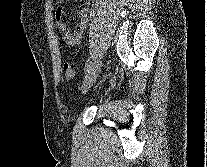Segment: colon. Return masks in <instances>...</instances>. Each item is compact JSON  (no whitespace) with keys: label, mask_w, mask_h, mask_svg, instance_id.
Wrapping results in <instances>:
<instances>
[{"label":"colon","mask_w":207,"mask_h":167,"mask_svg":"<svg viewBox=\"0 0 207 167\" xmlns=\"http://www.w3.org/2000/svg\"><path fill=\"white\" fill-rule=\"evenodd\" d=\"M63 73L67 79H72L75 76V70L69 63H64Z\"/></svg>","instance_id":"obj_1"}]
</instances>
